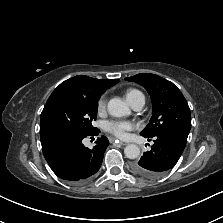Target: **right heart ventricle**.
Segmentation results:
<instances>
[{
	"label": "right heart ventricle",
	"instance_id": "e07e8e85",
	"mask_svg": "<svg viewBox=\"0 0 223 223\" xmlns=\"http://www.w3.org/2000/svg\"><path fill=\"white\" fill-rule=\"evenodd\" d=\"M126 98L129 101L130 104H132V102L139 96H142L143 94L137 90V89H128L126 91Z\"/></svg>",
	"mask_w": 223,
	"mask_h": 223
}]
</instances>
